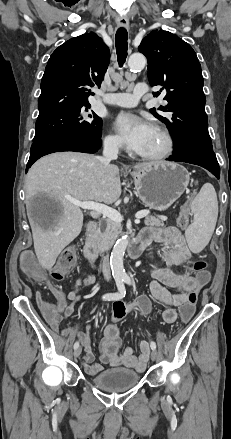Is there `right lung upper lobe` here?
I'll use <instances>...</instances> for the list:
<instances>
[{
	"instance_id": "1",
	"label": "right lung upper lobe",
	"mask_w": 231,
	"mask_h": 439,
	"mask_svg": "<svg viewBox=\"0 0 231 439\" xmlns=\"http://www.w3.org/2000/svg\"><path fill=\"white\" fill-rule=\"evenodd\" d=\"M109 61V48L95 33L80 35L59 46L42 77L38 118L90 105V87L100 86Z\"/></svg>"
}]
</instances>
